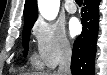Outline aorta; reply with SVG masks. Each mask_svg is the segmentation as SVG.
I'll use <instances>...</instances> for the list:
<instances>
[{"mask_svg": "<svg viewBox=\"0 0 107 75\" xmlns=\"http://www.w3.org/2000/svg\"><path fill=\"white\" fill-rule=\"evenodd\" d=\"M38 8L43 18L54 20L59 12L60 0H39Z\"/></svg>", "mask_w": 107, "mask_h": 75, "instance_id": "obj_1", "label": "aorta"}]
</instances>
